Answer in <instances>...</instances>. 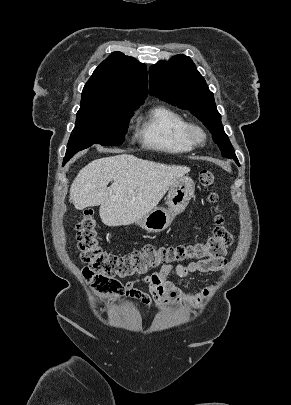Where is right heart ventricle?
I'll return each mask as SVG.
<instances>
[{"label": "right heart ventricle", "mask_w": 291, "mask_h": 405, "mask_svg": "<svg viewBox=\"0 0 291 405\" xmlns=\"http://www.w3.org/2000/svg\"><path fill=\"white\" fill-rule=\"evenodd\" d=\"M187 124L174 109L156 105L139 118L137 136L152 149L173 154L188 153L194 146L186 137Z\"/></svg>", "instance_id": "obj_1"}]
</instances>
